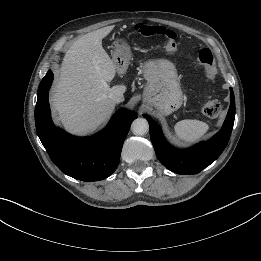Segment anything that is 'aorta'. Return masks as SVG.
I'll list each match as a JSON object with an SVG mask.
<instances>
[{"label": "aorta", "instance_id": "obj_1", "mask_svg": "<svg viewBox=\"0 0 261 261\" xmlns=\"http://www.w3.org/2000/svg\"><path fill=\"white\" fill-rule=\"evenodd\" d=\"M132 132L136 135H145L149 130V124L144 118H137L131 125Z\"/></svg>", "mask_w": 261, "mask_h": 261}]
</instances>
